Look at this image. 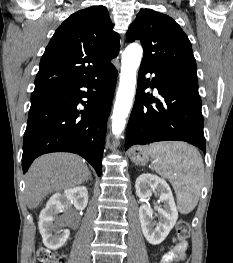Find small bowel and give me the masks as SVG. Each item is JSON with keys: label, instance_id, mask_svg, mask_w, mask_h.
Returning <instances> with one entry per match:
<instances>
[{"label": "small bowel", "instance_id": "1", "mask_svg": "<svg viewBox=\"0 0 233 263\" xmlns=\"http://www.w3.org/2000/svg\"><path fill=\"white\" fill-rule=\"evenodd\" d=\"M187 242L172 245L162 256L160 263H179L186 258Z\"/></svg>", "mask_w": 233, "mask_h": 263}]
</instances>
